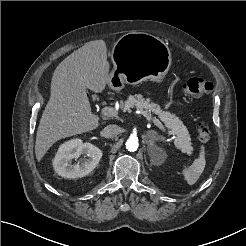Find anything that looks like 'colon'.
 Returning a JSON list of instances; mask_svg holds the SVG:
<instances>
[{"instance_id":"5ec220e1","label":"colon","mask_w":246,"mask_h":246,"mask_svg":"<svg viewBox=\"0 0 246 246\" xmlns=\"http://www.w3.org/2000/svg\"><path fill=\"white\" fill-rule=\"evenodd\" d=\"M184 91L187 95L195 98L211 92L214 89V84L204 78H190L183 85ZM196 130L201 141H208L211 137L210 126L205 122H198Z\"/></svg>"}]
</instances>
